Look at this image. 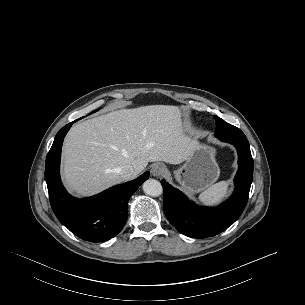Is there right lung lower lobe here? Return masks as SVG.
Returning <instances> with one entry per match:
<instances>
[{"instance_id": "98d812e1", "label": "right lung lower lobe", "mask_w": 305, "mask_h": 305, "mask_svg": "<svg viewBox=\"0 0 305 305\" xmlns=\"http://www.w3.org/2000/svg\"><path fill=\"white\" fill-rule=\"evenodd\" d=\"M75 121L57 133L46 158L45 179L50 204L59 221L73 234L86 241L104 242L122 230L128 216V200L148 179L149 172L93 197L79 200L69 195L60 180L59 165L64 137Z\"/></svg>"}]
</instances>
